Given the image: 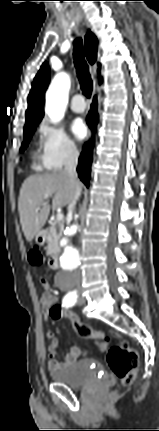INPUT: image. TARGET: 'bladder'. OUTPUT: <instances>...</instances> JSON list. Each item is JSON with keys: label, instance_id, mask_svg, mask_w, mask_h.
I'll list each match as a JSON object with an SVG mask.
<instances>
[{"label": "bladder", "instance_id": "obj_1", "mask_svg": "<svg viewBox=\"0 0 159 431\" xmlns=\"http://www.w3.org/2000/svg\"><path fill=\"white\" fill-rule=\"evenodd\" d=\"M51 379L70 388H80L107 377L104 365L91 358L78 360L68 367L50 371Z\"/></svg>", "mask_w": 159, "mask_h": 431}]
</instances>
